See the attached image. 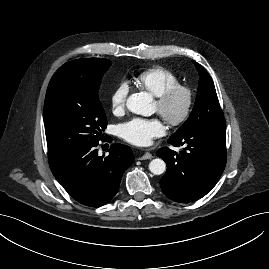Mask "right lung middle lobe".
I'll return each instance as SVG.
<instances>
[{"instance_id": "obj_1", "label": "right lung middle lobe", "mask_w": 269, "mask_h": 269, "mask_svg": "<svg viewBox=\"0 0 269 269\" xmlns=\"http://www.w3.org/2000/svg\"><path fill=\"white\" fill-rule=\"evenodd\" d=\"M111 64L101 58L78 59L65 63L53 75L44 104L49 156L101 139L107 119L98 91Z\"/></svg>"}]
</instances>
